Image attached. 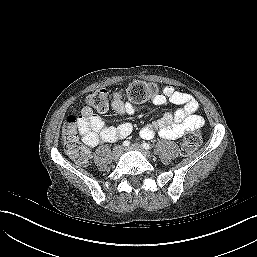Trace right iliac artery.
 I'll list each match as a JSON object with an SVG mask.
<instances>
[{
  "mask_svg": "<svg viewBox=\"0 0 257 257\" xmlns=\"http://www.w3.org/2000/svg\"><path fill=\"white\" fill-rule=\"evenodd\" d=\"M129 145H130V142H129V141H124V142H123V146H124V147H128Z\"/></svg>",
  "mask_w": 257,
  "mask_h": 257,
  "instance_id": "right-iliac-artery-1",
  "label": "right iliac artery"
}]
</instances>
